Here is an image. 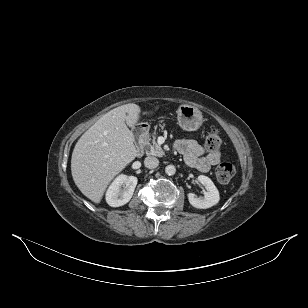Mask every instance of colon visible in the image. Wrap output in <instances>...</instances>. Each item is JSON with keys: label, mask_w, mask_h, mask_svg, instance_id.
I'll return each mask as SVG.
<instances>
[{"label": "colon", "mask_w": 308, "mask_h": 308, "mask_svg": "<svg viewBox=\"0 0 308 308\" xmlns=\"http://www.w3.org/2000/svg\"><path fill=\"white\" fill-rule=\"evenodd\" d=\"M222 144V138L217 130H212L205 139V147L208 151H218ZM235 174V168L231 163H221L216 169V177L221 183H228Z\"/></svg>", "instance_id": "5ec220e1"}]
</instances>
